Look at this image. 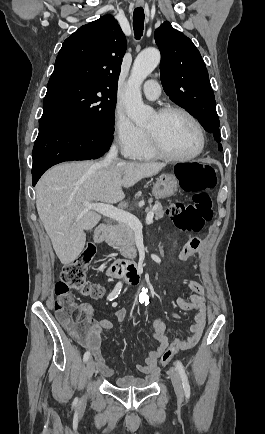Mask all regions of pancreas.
<instances>
[{
    "label": "pancreas",
    "instance_id": "obj_1",
    "mask_svg": "<svg viewBox=\"0 0 265 434\" xmlns=\"http://www.w3.org/2000/svg\"><path fill=\"white\" fill-rule=\"evenodd\" d=\"M156 208H147V212H153L155 220L163 218L164 212L160 202H155ZM135 230L128 224L117 222L116 226H110L105 242L114 250H125L127 256H133L135 250Z\"/></svg>",
    "mask_w": 265,
    "mask_h": 434
}]
</instances>
